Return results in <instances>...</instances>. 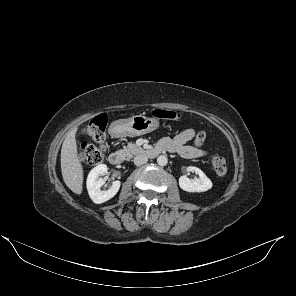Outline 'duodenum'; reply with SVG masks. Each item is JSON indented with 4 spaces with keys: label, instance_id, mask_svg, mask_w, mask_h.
<instances>
[{
    "label": "duodenum",
    "instance_id": "1",
    "mask_svg": "<svg viewBox=\"0 0 296 296\" xmlns=\"http://www.w3.org/2000/svg\"><path fill=\"white\" fill-rule=\"evenodd\" d=\"M112 135L115 136V133L112 132ZM164 151H166L165 148L159 145V146H155L147 149L145 151V154L149 158H155L159 156L161 153H163ZM123 160H124V156L121 152L115 151L110 153L109 155V162L112 165H120L123 162Z\"/></svg>",
    "mask_w": 296,
    "mask_h": 296
}]
</instances>
